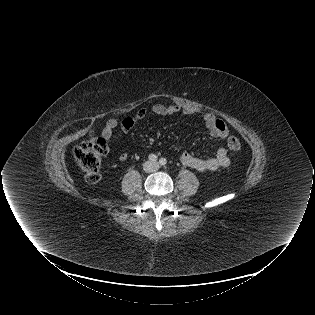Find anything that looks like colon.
Listing matches in <instances>:
<instances>
[{"label":"colon","mask_w":315,"mask_h":315,"mask_svg":"<svg viewBox=\"0 0 315 315\" xmlns=\"http://www.w3.org/2000/svg\"><path fill=\"white\" fill-rule=\"evenodd\" d=\"M109 138L103 132L92 133L74 151V157L82 169L88 183H96L100 179L102 158L108 150ZM227 146L232 153H239L241 143L236 137H229Z\"/></svg>","instance_id":"1"}]
</instances>
